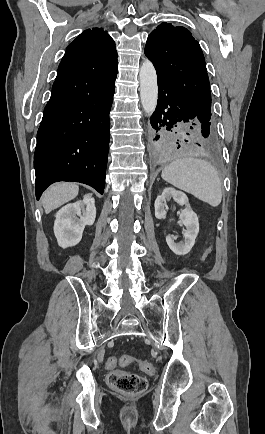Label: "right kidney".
Wrapping results in <instances>:
<instances>
[{
  "label": "right kidney",
  "instance_id": "right-kidney-1",
  "mask_svg": "<svg viewBox=\"0 0 265 434\" xmlns=\"http://www.w3.org/2000/svg\"><path fill=\"white\" fill-rule=\"evenodd\" d=\"M95 218L96 208L92 194H85L80 202L63 206L57 212L54 222V234L58 246L60 248H70V246L79 244L85 226H93Z\"/></svg>",
  "mask_w": 265,
  "mask_h": 434
}]
</instances>
